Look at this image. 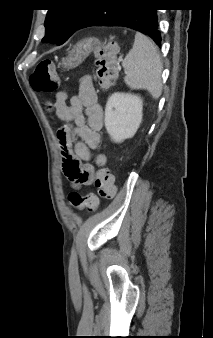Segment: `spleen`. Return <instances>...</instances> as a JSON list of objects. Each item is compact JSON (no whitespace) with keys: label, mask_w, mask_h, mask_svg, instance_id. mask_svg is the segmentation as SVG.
Here are the masks:
<instances>
[{"label":"spleen","mask_w":213,"mask_h":338,"mask_svg":"<svg viewBox=\"0 0 213 338\" xmlns=\"http://www.w3.org/2000/svg\"><path fill=\"white\" fill-rule=\"evenodd\" d=\"M124 81L131 89H145L154 99L162 93V63L154 43L142 33L135 34L132 49L122 62Z\"/></svg>","instance_id":"obj_1"}]
</instances>
